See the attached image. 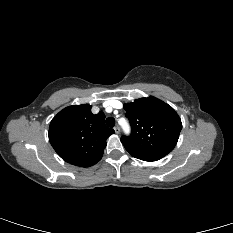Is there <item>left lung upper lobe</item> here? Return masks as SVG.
Listing matches in <instances>:
<instances>
[{
    "mask_svg": "<svg viewBox=\"0 0 233 233\" xmlns=\"http://www.w3.org/2000/svg\"><path fill=\"white\" fill-rule=\"evenodd\" d=\"M132 134L121 142L133 155L164 157L175 147L182 129L176 111L163 101L150 96L124 104Z\"/></svg>",
    "mask_w": 233,
    "mask_h": 233,
    "instance_id": "obj_1",
    "label": "left lung upper lobe"
}]
</instances>
